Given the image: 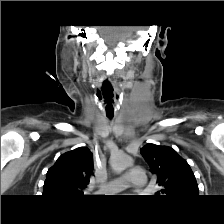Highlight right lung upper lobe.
I'll list each match as a JSON object with an SVG mask.
<instances>
[{"label":"right lung upper lobe","mask_w":224,"mask_h":224,"mask_svg":"<svg viewBox=\"0 0 224 224\" xmlns=\"http://www.w3.org/2000/svg\"><path fill=\"white\" fill-rule=\"evenodd\" d=\"M92 171L93 155L87 147L66 152L48 170L43 195H83Z\"/></svg>","instance_id":"1"}]
</instances>
